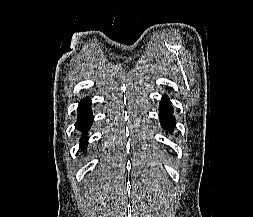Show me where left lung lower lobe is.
Here are the masks:
<instances>
[{"label": "left lung lower lobe", "mask_w": 253, "mask_h": 217, "mask_svg": "<svg viewBox=\"0 0 253 217\" xmlns=\"http://www.w3.org/2000/svg\"><path fill=\"white\" fill-rule=\"evenodd\" d=\"M161 125L166 132H172L174 129V116H173V108L169 104V100L163 97L160 104V115H159Z\"/></svg>", "instance_id": "1"}]
</instances>
